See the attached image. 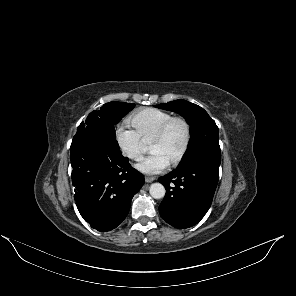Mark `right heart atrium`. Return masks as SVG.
Wrapping results in <instances>:
<instances>
[{"mask_svg":"<svg viewBox=\"0 0 296 296\" xmlns=\"http://www.w3.org/2000/svg\"><path fill=\"white\" fill-rule=\"evenodd\" d=\"M116 141L122 152L131 160L140 161L145 154V142L136 130L121 125L116 130Z\"/></svg>","mask_w":296,"mask_h":296,"instance_id":"1","label":"right heart atrium"}]
</instances>
